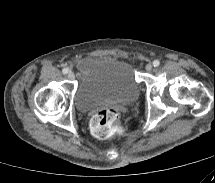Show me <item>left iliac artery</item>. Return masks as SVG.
Wrapping results in <instances>:
<instances>
[{
    "label": "left iliac artery",
    "mask_w": 215,
    "mask_h": 183,
    "mask_svg": "<svg viewBox=\"0 0 215 183\" xmlns=\"http://www.w3.org/2000/svg\"><path fill=\"white\" fill-rule=\"evenodd\" d=\"M160 65V62L158 60L153 61V66L158 67Z\"/></svg>",
    "instance_id": "left-iliac-artery-1"
}]
</instances>
